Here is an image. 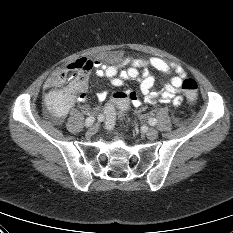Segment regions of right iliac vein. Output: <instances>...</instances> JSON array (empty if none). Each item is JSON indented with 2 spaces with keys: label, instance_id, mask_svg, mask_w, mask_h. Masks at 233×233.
I'll return each mask as SVG.
<instances>
[{
  "label": "right iliac vein",
  "instance_id": "obj_1",
  "mask_svg": "<svg viewBox=\"0 0 233 233\" xmlns=\"http://www.w3.org/2000/svg\"><path fill=\"white\" fill-rule=\"evenodd\" d=\"M98 126L94 125L91 128H89V130L87 131L88 135H94L97 132Z\"/></svg>",
  "mask_w": 233,
  "mask_h": 233
}]
</instances>
